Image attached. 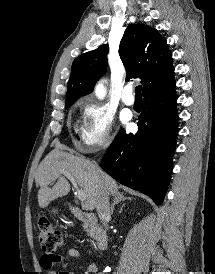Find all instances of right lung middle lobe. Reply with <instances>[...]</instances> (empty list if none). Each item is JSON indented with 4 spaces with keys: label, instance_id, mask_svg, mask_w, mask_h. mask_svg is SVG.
I'll return each instance as SVG.
<instances>
[{
    "label": "right lung middle lobe",
    "instance_id": "dd1d6c3e",
    "mask_svg": "<svg viewBox=\"0 0 215 274\" xmlns=\"http://www.w3.org/2000/svg\"><path fill=\"white\" fill-rule=\"evenodd\" d=\"M72 104L65 105L66 108L70 107Z\"/></svg>",
    "mask_w": 215,
    "mask_h": 274
}]
</instances>
